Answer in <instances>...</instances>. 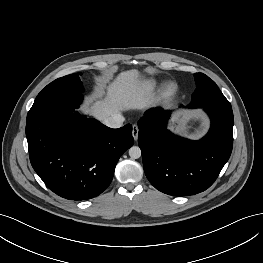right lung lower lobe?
<instances>
[{
  "label": "right lung lower lobe",
  "instance_id": "obj_1",
  "mask_svg": "<svg viewBox=\"0 0 263 263\" xmlns=\"http://www.w3.org/2000/svg\"><path fill=\"white\" fill-rule=\"evenodd\" d=\"M26 137L36 173L50 190L69 200L101 194L120 156L134 142L130 124L111 129L63 105L26 123Z\"/></svg>",
  "mask_w": 263,
  "mask_h": 263
}]
</instances>
